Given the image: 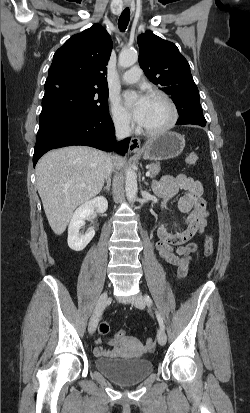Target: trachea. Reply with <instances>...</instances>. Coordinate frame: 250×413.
<instances>
[{
	"label": "trachea",
	"instance_id": "1",
	"mask_svg": "<svg viewBox=\"0 0 250 413\" xmlns=\"http://www.w3.org/2000/svg\"><path fill=\"white\" fill-rule=\"evenodd\" d=\"M130 20V10L129 8H125L124 11L121 13L119 21H118V27L119 29L123 32L128 26Z\"/></svg>",
	"mask_w": 250,
	"mask_h": 413
}]
</instances>
